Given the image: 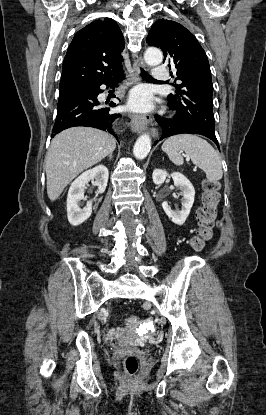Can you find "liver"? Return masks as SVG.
<instances>
[{
    "label": "liver",
    "instance_id": "1",
    "mask_svg": "<svg viewBox=\"0 0 266 415\" xmlns=\"http://www.w3.org/2000/svg\"><path fill=\"white\" fill-rule=\"evenodd\" d=\"M115 138L98 129L73 127L56 135L45 157L47 194L56 200L82 171L112 154Z\"/></svg>",
    "mask_w": 266,
    "mask_h": 415
}]
</instances>
